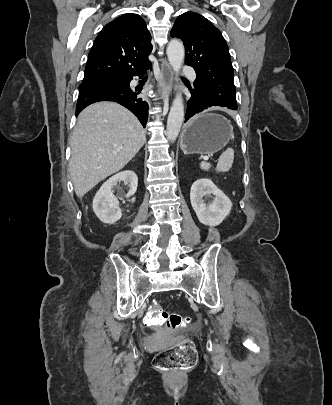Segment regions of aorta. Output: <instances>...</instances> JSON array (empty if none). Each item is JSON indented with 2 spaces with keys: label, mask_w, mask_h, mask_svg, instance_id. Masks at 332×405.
<instances>
[{
  "label": "aorta",
  "mask_w": 332,
  "mask_h": 405,
  "mask_svg": "<svg viewBox=\"0 0 332 405\" xmlns=\"http://www.w3.org/2000/svg\"><path fill=\"white\" fill-rule=\"evenodd\" d=\"M184 45L181 41L172 40L169 42L167 46V56L169 63L176 74L181 69L182 63L184 61ZM184 120V104L181 94H177L174 98L170 112L167 119V131L166 136L167 139L171 142L175 141L182 123Z\"/></svg>",
  "instance_id": "1"
}]
</instances>
